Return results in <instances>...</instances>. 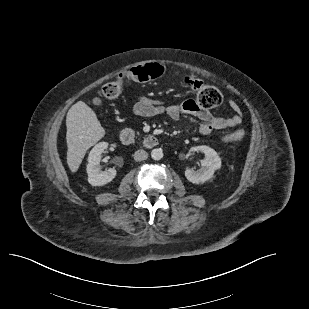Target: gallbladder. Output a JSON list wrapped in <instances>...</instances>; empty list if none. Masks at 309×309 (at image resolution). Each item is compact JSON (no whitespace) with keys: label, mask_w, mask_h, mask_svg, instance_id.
Listing matches in <instances>:
<instances>
[{"label":"gallbladder","mask_w":309,"mask_h":309,"mask_svg":"<svg viewBox=\"0 0 309 309\" xmlns=\"http://www.w3.org/2000/svg\"><path fill=\"white\" fill-rule=\"evenodd\" d=\"M92 103L98 106V105H101V100L99 98H93Z\"/></svg>","instance_id":"1"}]
</instances>
